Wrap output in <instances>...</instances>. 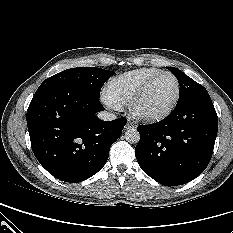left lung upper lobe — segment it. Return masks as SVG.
I'll return each mask as SVG.
<instances>
[{
    "label": "left lung upper lobe",
    "instance_id": "1",
    "mask_svg": "<svg viewBox=\"0 0 233 233\" xmlns=\"http://www.w3.org/2000/svg\"><path fill=\"white\" fill-rule=\"evenodd\" d=\"M167 69H170L171 72L176 76L179 85H180V95L178 102H181L193 94L197 92L206 91V89L200 85L199 83L195 82L193 79L188 77L185 73H183L181 70L174 68V67H167Z\"/></svg>",
    "mask_w": 233,
    "mask_h": 233
}]
</instances>
